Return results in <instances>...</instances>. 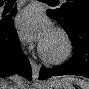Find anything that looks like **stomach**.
Listing matches in <instances>:
<instances>
[{"label": "stomach", "instance_id": "1", "mask_svg": "<svg viewBox=\"0 0 89 89\" xmlns=\"http://www.w3.org/2000/svg\"><path fill=\"white\" fill-rule=\"evenodd\" d=\"M43 89H74V87L64 79H52L43 86Z\"/></svg>", "mask_w": 89, "mask_h": 89}]
</instances>
